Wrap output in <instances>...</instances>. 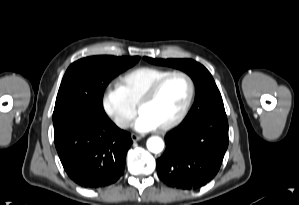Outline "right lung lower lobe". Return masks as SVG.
Here are the masks:
<instances>
[{"label":"right lung lower lobe","instance_id":"98d812e1","mask_svg":"<svg viewBox=\"0 0 299 205\" xmlns=\"http://www.w3.org/2000/svg\"><path fill=\"white\" fill-rule=\"evenodd\" d=\"M54 136L66 173L80 186L106 187L122 176L132 140L107 116H78L54 131Z\"/></svg>","mask_w":299,"mask_h":205}]
</instances>
